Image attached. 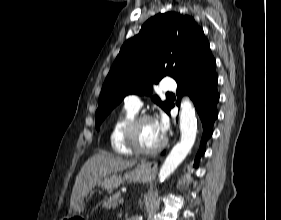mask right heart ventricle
<instances>
[{
  "label": "right heart ventricle",
  "mask_w": 281,
  "mask_h": 220,
  "mask_svg": "<svg viewBox=\"0 0 281 220\" xmlns=\"http://www.w3.org/2000/svg\"><path fill=\"white\" fill-rule=\"evenodd\" d=\"M136 115V110L125 105L123 110L113 121L109 133V143L114 153L122 156H130L133 154V152L125 146L122 134L126 124Z\"/></svg>",
  "instance_id": "e07e8e85"
}]
</instances>
